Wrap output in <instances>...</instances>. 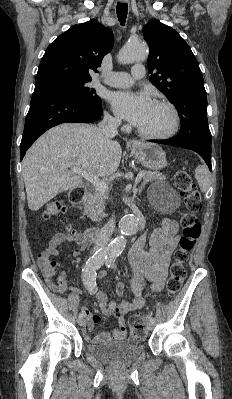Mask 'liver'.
Masks as SVG:
<instances>
[{"instance_id": "6515ba94", "label": "liver", "mask_w": 232, "mask_h": 399, "mask_svg": "<svg viewBox=\"0 0 232 399\" xmlns=\"http://www.w3.org/2000/svg\"><path fill=\"white\" fill-rule=\"evenodd\" d=\"M121 156L120 144L108 142L98 126L61 124L51 128L29 148L22 162L29 209L37 211L59 192L83 184L82 174L72 176L68 168L107 178L115 174Z\"/></svg>"}]
</instances>
